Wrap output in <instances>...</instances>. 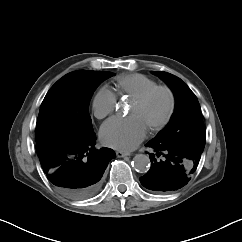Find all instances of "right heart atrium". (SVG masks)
<instances>
[{
	"instance_id": "d8ad5b80",
	"label": "right heart atrium",
	"mask_w": 242,
	"mask_h": 242,
	"mask_svg": "<svg viewBox=\"0 0 242 242\" xmlns=\"http://www.w3.org/2000/svg\"><path fill=\"white\" fill-rule=\"evenodd\" d=\"M117 96L108 87H101L93 97L92 110L96 118L103 119L116 108Z\"/></svg>"
}]
</instances>
